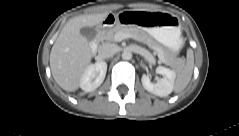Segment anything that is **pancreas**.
Here are the masks:
<instances>
[{"label":"pancreas","mask_w":239,"mask_h":136,"mask_svg":"<svg viewBox=\"0 0 239 136\" xmlns=\"http://www.w3.org/2000/svg\"><path fill=\"white\" fill-rule=\"evenodd\" d=\"M119 32L136 36L138 39L145 42L150 48L156 50L159 54L164 55L163 48L138 27L118 24L109 29L101 38L107 42H115V35ZM165 63L170 65L169 61H165Z\"/></svg>","instance_id":"1"}]
</instances>
